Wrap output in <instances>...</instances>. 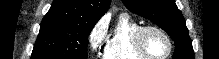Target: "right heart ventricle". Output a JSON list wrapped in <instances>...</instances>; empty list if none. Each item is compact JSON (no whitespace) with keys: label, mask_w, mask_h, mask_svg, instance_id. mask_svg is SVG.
I'll return each instance as SVG.
<instances>
[{"label":"right heart ventricle","mask_w":219,"mask_h":59,"mask_svg":"<svg viewBox=\"0 0 219 59\" xmlns=\"http://www.w3.org/2000/svg\"><path fill=\"white\" fill-rule=\"evenodd\" d=\"M140 26L130 15L120 14L106 37L103 59H145L133 49V37Z\"/></svg>","instance_id":"1"}]
</instances>
